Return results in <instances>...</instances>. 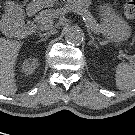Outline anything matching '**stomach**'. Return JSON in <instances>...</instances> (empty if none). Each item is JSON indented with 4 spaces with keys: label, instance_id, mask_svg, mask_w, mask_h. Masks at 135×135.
Instances as JSON below:
<instances>
[{
    "label": "stomach",
    "instance_id": "obj_1",
    "mask_svg": "<svg viewBox=\"0 0 135 135\" xmlns=\"http://www.w3.org/2000/svg\"><path fill=\"white\" fill-rule=\"evenodd\" d=\"M103 33L110 39L121 42L126 40L131 34L129 24L121 18L109 4L102 7Z\"/></svg>",
    "mask_w": 135,
    "mask_h": 135
}]
</instances>
